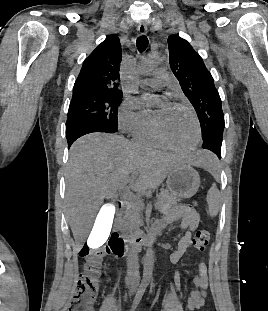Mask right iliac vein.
Masks as SVG:
<instances>
[{
	"label": "right iliac vein",
	"mask_w": 268,
	"mask_h": 311,
	"mask_svg": "<svg viewBox=\"0 0 268 311\" xmlns=\"http://www.w3.org/2000/svg\"><path fill=\"white\" fill-rule=\"evenodd\" d=\"M132 294H134V289H132V290L130 291V295H132Z\"/></svg>",
	"instance_id": "63e3f726"
}]
</instances>
